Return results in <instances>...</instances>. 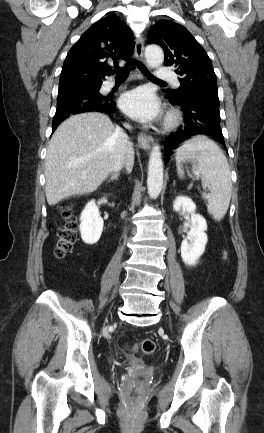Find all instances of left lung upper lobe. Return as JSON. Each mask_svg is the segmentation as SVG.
<instances>
[{"label":"left lung upper lobe","mask_w":264,"mask_h":433,"mask_svg":"<svg viewBox=\"0 0 264 433\" xmlns=\"http://www.w3.org/2000/svg\"><path fill=\"white\" fill-rule=\"evenodd\" d=\"M148 42L163 48L165 65L173 66L180 76V87L167 90V95L180 98L187 93L205 92L218 96L211 60L184 26L160 20L149 30Z\"/></svg>","instance_id":"left-lung-upper-lobe-1"}]
</instances>
